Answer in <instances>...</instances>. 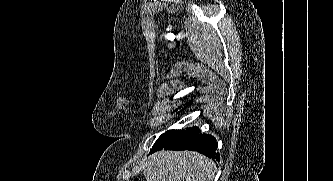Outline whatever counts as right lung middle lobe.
Masks as SVG:
<instances>
[{"mask_svg": "<svg viewBox=\"0 0 333 181\" xmlns=\"http://www.w3.org/2000/svg\"><path fill=\"white\" fill-rule=\"evenodd\" d=\"M195 128L196 127L188 128V129L183 130V131H180V130H169V131L165 132L164 134H162L158 138V140L156 141V143L154 144L153 147H155V146H166V145H170L171 143L177 141L178 139H180L184 135H186L189 132H191L192 130H194Z\"/></svg>", "mask_w": 333, "mask_h": 181, "instance_id": "dd1d6c3e", "label": "right lung middle lobe"}]
</instances>
